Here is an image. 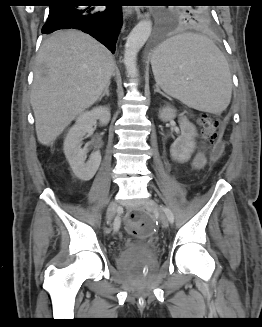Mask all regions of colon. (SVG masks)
Here are the masks:
<instances>
[{
  "instance_id": "obj_1",
  "label": "colon",
  "mask_w": 262,
  "mask_h": 327,
  "mask_svg": "<svg viewBox=\"0 0 262 327\" xmlns=\"http://www.w3.org/2000/svg\"><path fill=\"white\" fill-rule=\"evenodd\" d=\"M201 126V136L205 143L215 144L212 155L215 159L222 157L224 145L220 142L221 131L220 121L207 113H202L198 119ZM152 220L144 213H131L126 220V227L129 232L137 236H148L153 231Z\"/></svg>"
}]
</instances>
